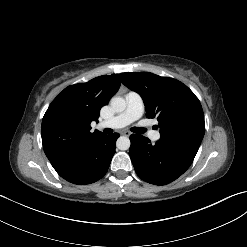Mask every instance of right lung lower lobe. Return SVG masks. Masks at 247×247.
<instances>
[{
    "label": "right lung lower lobe",
    "mask_w": 247,
    "mask_h": 247,
    "mask_svg": "<svg viewBox=\"0 0 247 247\" xmlns=\"http://www.w3.org/2000/svg\"><path fill=\"white\" fill-rule=\"evenodd\" d=\"M119 134L100 135L82 150L51 160L57 173L68 182L84 185L101 179L115 154Z\"/></svg>",
    "instance_id": "right-lung-lower-lobe-1"
}]
</instances>
